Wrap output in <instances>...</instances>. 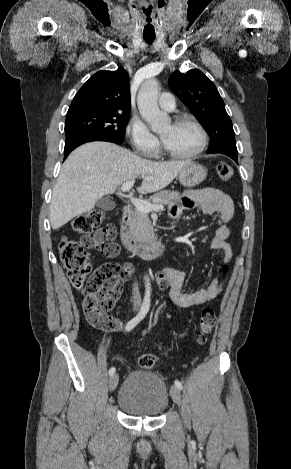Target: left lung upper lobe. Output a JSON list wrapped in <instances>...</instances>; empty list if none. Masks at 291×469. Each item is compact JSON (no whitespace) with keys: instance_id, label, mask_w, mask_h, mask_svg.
I'll list each match as a JSON object with an SVG mask.
<instances>
[{"instance_id":"5c2ea615","label":"left lung upper lobe","mask_w":291,"mask_h":469,"mask_svg":"<svg viewBox=\"0 0 291 469\" xmlns=\"http://www.w3.org/2000/svg\"><path fill=\"white\" fill-rule=\"evenodd\" d=\"M168 82L171 90L208 131L211 144L207 152L237 151L232 122L214 83L198 69H192L186 74L175 71Z\"/></svg>"}]
</instances>
